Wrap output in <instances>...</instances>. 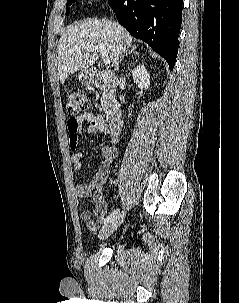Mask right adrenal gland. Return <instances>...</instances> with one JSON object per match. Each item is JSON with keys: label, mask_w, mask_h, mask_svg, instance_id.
<instances>
[{"label": "right adrenal gland", "mask_w": 239, "mask_h": 303, "mask_svg": "<svg viewBox=\"0 0 239 303\" xmlns=\"http://www.w3.org/2000/svg\"><path fill=\"white\" fill-rule=\"evenodd\" d=\"M132 54L139 55V53L136 51V46H132L127 51H124V55H122L121 60L124 58V56L132 55Z\"/></svg>", "instance_id": "obj_1"}]
</instances>
